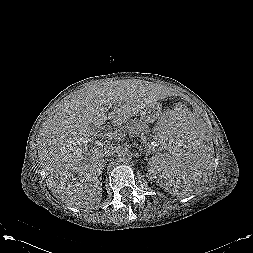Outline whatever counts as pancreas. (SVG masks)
Wrapping results in <instances>:
<instances>
[{"instance_id": "obj_1", "label": "pancreas", "mask_w": 253, "mask_h": 253, "mask_svg": "<svg viewBox=\"0 0 253 253\" xmlns=\"http://www.w3.org/2000/svg\"><path fill=\"white\" fill-rule=\"evenodd\" d=\"M129 133L131 136H138L140 135L142 144H145L149 141V133L150 129L146 122L142 120H132L130 121L127 126L121 127L120 129L116 130L115 133L118 134V137L115 139H122L126 133Z\"/></svg>"}]
</instances>
